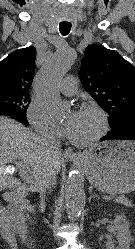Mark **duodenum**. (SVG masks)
Returning a JSON list of instances; mask_svg holds the SVG:
<instances>
[{
	"mask_svg": "<svg viewBox=\"0 0 135 249\" xmlns=\"http://www.w3.org/2000/svg\"><path fill=\"white\" fill-rule=\"evenodd\" d=\"M6 201L10 202L13 209L17 212L22 211L26 202V192L24 190H17L8 193L6 196Z\"/></svg>",
	"mask_w": 135,
	"mask_h": 249,
	"instance_id": "410a0bca",
	"label": "duodenum"
}]
</instances>
